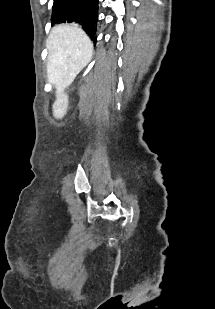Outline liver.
I'll return each instance as SVG.
<instances>
[{
	"instance_id": "obj_1",
	"label": "liver",
	"mask_w": 215,
	"mask_h": 309,
	"mask_svg": "<svg viewBox=\"0 0 215 309\" xmlns=\"http://www.w3.org/2000/svg\"><path fill=\"white\" fill-rule=\"evenodd\" d=\"M48 78L55 84L57 94H63L65 88L73 82L76 74L90 62L93 44L86 32L78 24H56L49 36ZM54 114L61 118L65 108H57Z\"/></svg>"
}]
</instances>
